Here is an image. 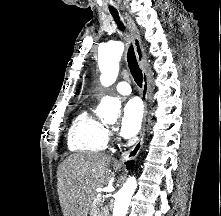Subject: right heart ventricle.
<instances>
[{
  "mask_svg": "<svg viewBox=\"0 0 221 216\" xmlns=\"http://www.w3.org/2000/svg\"><path fill=\"white\" fill-rule=\"evenodd\" d=\"M106 125L84 110L74 119L68 132V148L76 152H99L106 148Z\"/></svg>",
  "mask_w": 221,
  "mask_h": 216,
  "instance_id": "obj_1",
  "label": "right heart ventricle"
}]
</instances>
